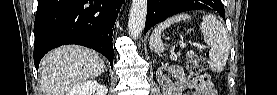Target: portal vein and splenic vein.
<instances>
[{
	"label": "portal vein and splenic vein",
	"mask_w": 277,
	"mask_h": 95,
	"mask_svg": "<svg viewBox=\"0 0 277 95\" xmlns=\"http://www.w3.org/2000/svg\"><path fill=\"white\" fill-rule=\"evenodd\" d=\"M179 45L181 48H185L186 47V44L184 42H179Z\"/></svg>",
	"instance_id": "18ae733b"
}]
</instances>
